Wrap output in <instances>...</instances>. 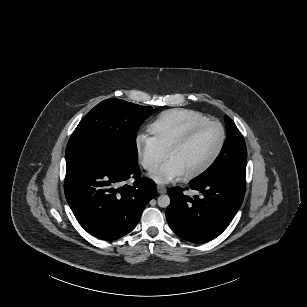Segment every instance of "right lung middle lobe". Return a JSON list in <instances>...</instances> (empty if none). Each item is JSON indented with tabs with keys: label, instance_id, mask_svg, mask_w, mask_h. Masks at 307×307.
<instances>
[{
	"label": "right lung middle lobe",
	"instance_id": "right-lung-middle-lobe-1",
	"mask_svg": "<svg viewBox=\"0 0 307 307\" xmlns=\"http://www.w3.org/2000/svg\"><path fill=\"white\" fill-rule=\"evenodd\" d=\"M152 113V107L115 98L102 101L83 117L71 135L66 162L105 156L126 166H138L137 131Z\"/></svg>",
	"mask_w": 307,
	"mask_h": 307
}]
</instances>
